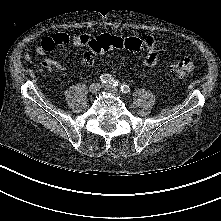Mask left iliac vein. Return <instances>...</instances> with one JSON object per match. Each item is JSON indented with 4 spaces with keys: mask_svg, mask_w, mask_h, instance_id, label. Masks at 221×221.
<instances>
[{
    "mask_svg": "<svg viewBox=\"0 0 221 221\" xmlns=\"http://www.w3.org/2000/svg\"><path fill=\"white\" fill-rule=\"evenodd\" d=\"M103 86L109 92L116 93L118 91V89L115 86H113V85L104 84Z\"/></svg>",
    "mask_w": 221,
    "mask_h": 221,
    "instance_id": "left-iliac-vein-1",
    "label": "left iliac vein"
}]
</instances>
